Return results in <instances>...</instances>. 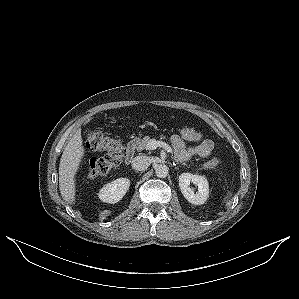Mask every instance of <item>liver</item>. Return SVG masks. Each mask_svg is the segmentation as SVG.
I'll use <instances>...</instances> for the list:
<instances>
[{
	"label": "liver",
	"mask_w": 299,
	"mask_h": 299,
	"mask_svg": "<svg viewBox=\"0 0 299 299\" xmlns=\"http://www.w3.org/2000/svg\"><path fill=\"white\" fill-rule=\"evenodd\" d=\"M84 152L81 130L78 129L64 148L59 165L60 193L63 200L71 205L75 202V175L79 169Z\"/></svg>",
	"instance_id": "obj_1"
}]
</instances>
